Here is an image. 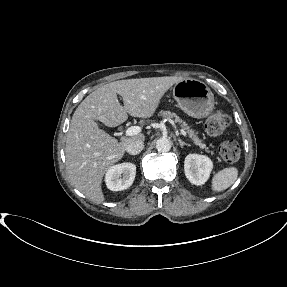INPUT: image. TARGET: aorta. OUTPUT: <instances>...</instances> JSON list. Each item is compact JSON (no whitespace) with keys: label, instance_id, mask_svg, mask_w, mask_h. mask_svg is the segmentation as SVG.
<instances>
[{"label":"aorta","instance_id":"762f6f07","mask_svg":"<svg viewBox=\"0 0 287 287\" xmlns=\"http://www.w3.org/2000/svg\"><path fill=\"white\" fill-rule=\"evenodd\" d=\"M156 149L159 152H168L171 149V142L167 138H160L156 142Z\"/></svg>","mask_w":287,"mask_h":287}]
</instances>
